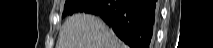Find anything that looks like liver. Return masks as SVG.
I'll list each match as a JSON object with an SVG mask.
<instances>
[{"instance_id":"liver-1","label":"liver","mask_w":213,"mask_h":48,"mask_svg":"<svg viewBox=\"0 0 213 48\" xmlns=\"http://www.w3.org/2000/svg\"><path fill=\"white\" fill-rule=\"evenodd\" d=\"M56 48H125L98 17L75 14L62 25Z\"/></svg>"}]
</instances>
